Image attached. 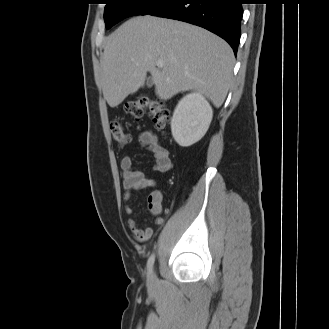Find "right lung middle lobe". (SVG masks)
<instances>
[{
	"mask_svg": "<svg viewBox=\"0 0 329 329\" xmlns=\"http://www.w3.org/2000/svg\"><path fill=\"white\" fill-rule=\"evenodd\" d=\"M172 0H106L104 21L106 29L134 15H146L168 4Z\"/></svg>",
	"mask_w": 329,
	"mask_h": 329,
	"instance_id": "dd1d6c3e",
	"label": "right lung middle lobe"
}]
</instances>
